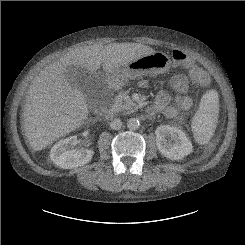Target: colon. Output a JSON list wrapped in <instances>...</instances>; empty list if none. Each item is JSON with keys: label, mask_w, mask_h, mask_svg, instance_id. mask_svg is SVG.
Returning <instances> with one entry per match:
<instances>
[{"label": "colon", "mask_w": 245, "mask_h": 245, "mask_svg": "<svg viewBox=\"0 0 245 245\" xmlns=\"http://www.w3.org/2000/svg\"><path fill=\"white\" fill-rule=\"evenodd\" d=\"M171 55L174 63L179 68L190 70V80L194 85L207 86L210 83V78L206 73V71L199 66H195L192 58L188 54L180 50H173ZM213 147H214V140L210 141L204 147L202 151V156L203 157L208 156L211 150L213 149Z\"/></svg>", "instance_id": "5ec220e1"}]
</instances>
